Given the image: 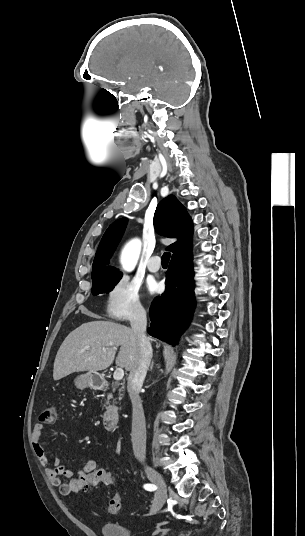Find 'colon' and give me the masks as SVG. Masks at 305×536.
Wrapping results in <instances>:
<instances>
[{"instance_id":"5ec220e1","label":"colon","mask_w":305,"mask_h":536,"mask_svg":"<svg viewBox=\"0 0 305 536\" xmlns=\"http://www.w3.org/2000/svg\"><path fill=\"white\" fill-rule=\"evenodd\" d=\"M57 409L55 406L46 407L44 411H39L37 414V419L39 422H52L56 418ZM93 474V475H92ZM92 474H88L85 477L86 484L85 487L87 490L92 491L95 489L99 483H108L106 477L109 475V470L107 468H98L93 469ZM115 492L113 497L109 500L108 511L110 513H118L121 509L123 502V495L121 490L118 487L114 488Z\"/></svg>"}]
</instances>
